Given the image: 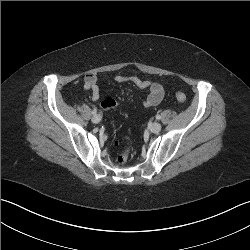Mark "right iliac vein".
Instances as JSON below:
<instances>
[{"label": "right iliac vein", "instance_id": "obj_1", "mask_svg": "<svg viewBox=\"0 0 250 250\" xmlns=\"http://www.w3.org/2000/svg\"><path fill=\"white\" fill-rule=\"evenodd\" d=\"M101 121V116L100 115H94L92 117V122L93 123H99Z\"/></svg>", "mask_w": 250, "mask_h": 250}]
</instances>
